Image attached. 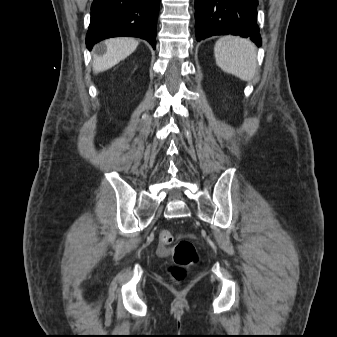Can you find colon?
Returning <instances> with one entry per match:
<instances>
[{
    "label": "colon",
    "mask_w": 337,
    "mask_h": 337,
    "mask_svg": "<svg viewBox=\"0 0 337 337\" xmlns=\"http://www.w3.org/2000/svg\"><path fill=\"white\" fill-rule=\"evenodd\" d=\"M172 241V233L169 230H161L158 234V251L163 254L172 253L176 265L170 271L175 279L181 280L186 275L183 267L196 262L198 255L195 246L189 240H181L171 247Z\"/></svg>",
    "instance_id": "obj_1"
}]
</instances>
